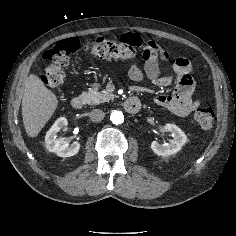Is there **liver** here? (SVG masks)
<instances>
[{"label":"liver","instance_id":"liver-1","mask_svg":"<svg viewBox=\"0 0 236 236\" xmlns=\"http://www.w3.org/2000/svg\"><path fill=\"white\" fill-rule=\"evenodd\" d=\"M57 106L56 95L38 76L31 74L26 80L22 99L23 124L29 137H36L39 134Z\"/></svg>","mask_w":236,"mask_h":236}]
</instances>
